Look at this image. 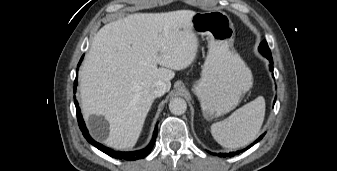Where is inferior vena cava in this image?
Segmentation results:
<instances>
[{
	"instance_id": "602c4592",
	"label": "inferior vena cava",
	"mask_w": 337,
	"mask_h": 171,
	"mask_svg": "<svg viewBox=\"0 0 337 171\" xmlns=\"http://www.w3.org/2000/svg\"><path fill=\"white\" fill-rule=\"evenodd\" d=\"M151 90L155 97H160L167 92V84L161 80H158L152 84Z\"/></svg>"
}]
</instances>
